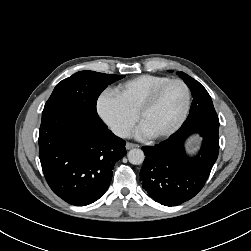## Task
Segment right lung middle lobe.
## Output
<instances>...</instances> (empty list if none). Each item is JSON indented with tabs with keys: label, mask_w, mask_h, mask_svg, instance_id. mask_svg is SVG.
<instances>
[{
	"label": "right lung middle lobe",
	"mask_w": 251,
	"mask_h": 251,
	"mask_svg": "<svg viewBox=\"0 0 251 251\" xmlns=\"http://www.w3.org/2000/svg\"><path fill=\"white\" fill-rule=\"evenodd\" d=\"M124 75L80 71L59 82L45 104L43 112L67 105L82 106L96 111L101 92Z\"/></svg>",
	"instance_id": "right-lung-middle-lobe-1"
}]
</instances>
